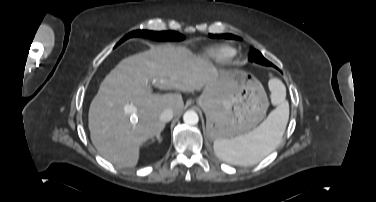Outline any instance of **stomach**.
<instances>
[{
	"label": "stomach",
	"instance_id": "0dacf381",
	"mask_svg": "<svg viewBox=\"0 0 376 202\" xmlns=\"http://www.w3.org/2000/svg\"><path fill=\"white\" fill-rule=\"evenodd\" d=\"M197 104L204 110L207 134L213 140L246 134L266 115L268 98L261 83L241 70H220L205 85Z\"/></svg>",
	"mask_w": 376,
	"mask_h": 202
}]
</instances>
